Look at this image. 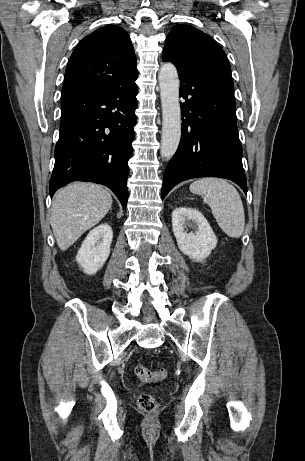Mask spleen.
Instances as JSON below:
<instances>
[{"mask_svg":"<svg viewBox=\"0 0 305 461\" xmlns=\"http://www.w3.org/2000/svg\"><path fill=\"white\" fill-rule=\"evenodd\" d=\"M190 191L205 197L219 227L232 238L242 236L245 214L241 197L234 186L220 178H202L190 185Z\"/></svg>","mask_w":305,"mask_h":461,"instance_id":"spleen-1","label":"spleen"}]
</instances>
